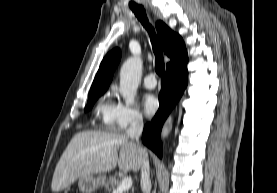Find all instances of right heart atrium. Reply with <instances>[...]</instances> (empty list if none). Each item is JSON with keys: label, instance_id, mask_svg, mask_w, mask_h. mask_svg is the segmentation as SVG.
Returning a JSON list of instances; mask_svg holds the SVG:
<instances>
[{"label": "right heart atrium", "instance_id": "right-heart-atrium-1", "mask_svg": "<svg viewBox=\"0 0 277 193\" xmlns=\"http://www.w3.org/2000/svg\"><path fill=\"white\" fill-rule=\"evenodd\" d=\"M143 122V117L139 110L134 106L119 102L114 106L112 114V125L119 131L129 127L139 126Z\"/></svg>", "mask_w": 277, "mask_h": 193}]
</instances>
